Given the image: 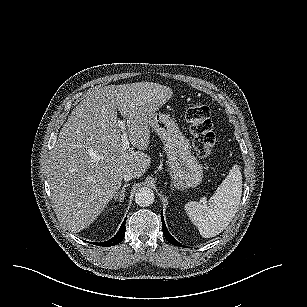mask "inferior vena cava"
Returning a JSON list of instances; mask_svg holds the SVG:
<instances>
[{
	"instance_id": "inferior-vena-cava-1",
	"label": "inferior vena cava",
	"mask_w": 307,
	"mask_h": 307,
	"mask_svg": "<svg viewBox=\"0 0 307 307\" xmlns=\"http://www.w3.org/2000/svg\"><path fill=\"white\" fill-rule=\"evenodd\" d=\"M124 181L128 182L130 180H132L133 178H135L134 174L132 172H127L124 176Z\"/></svg>"
}]
</instances>
